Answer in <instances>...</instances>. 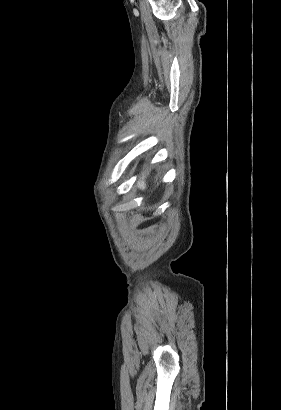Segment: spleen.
<instances>
[{
	"label": "spleen",
	"instance_id": "1",
	"mask_svg": "<svg viewBox=\"0 0 281 410\" xmlns=\"http://www.w3.org/2000/svg\"><path fill=\"white\" fill-rule=\"evenodd\" d=\"M137 186L142 190H144L146 188V184H145L143 178L140 181H138Z\"/></svg>",
	"mask_w": 281,
	"mask_h": 410
}]
</instances>
